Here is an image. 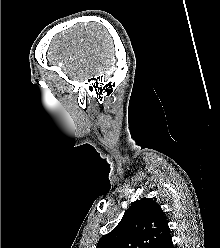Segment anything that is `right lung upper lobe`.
Returning a JSON list of instances; mask_svg holds the SVG:
<instances>
[{"mask_svg":"<svg viewBox=\"0 0 220 248\" xmlns=\"http://www.w3.org/2000/svg\"><path fill=\"white\" fill-rule=\"evenodd\" d=\"M170 237L165 213L150 198L137 200L119 224L98 242L96 248H160Z\"/></svg>","mask_w":220,"mask_h":248,"instance_id":"1","label":"right lung upper lobe"}]
</instances>
